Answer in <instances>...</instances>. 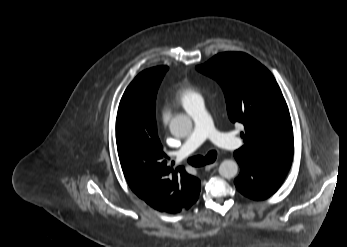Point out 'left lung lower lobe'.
I'll use <instances>...</instances> for the list:
<instances>
[{
    "label": "left lung lower lobe",
    "instance_id": "0a47b994",
    "mask_svg": "<svg viewBox=\"0 0 347 247\" xmlns=\"http://www.w3.org/2000/svg\"><path fill=\"white\" fill-rule=\"evenodd\" d=\"M240 165V174L235 179L236 188L254 200H263L277 191L291 166L287 163L252 161L234 154Z\"/></svg>",
    "mask_w": 347,
    "mask_h": 247
}]
</instances>
